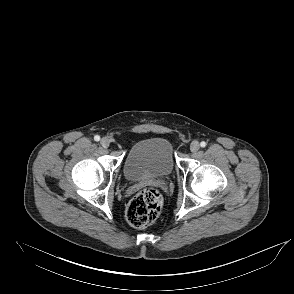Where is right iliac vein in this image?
I'll return each instance as SVG.
<instances>
[{"label":"right iliac vein","instance_id":"1","mask_svg":"<svg viewBox=\"0 0 294 294\" xmlns=\"http://www.w3.org/2000/svg\"><path fill=\"white\" fill-rule=\"evenodd\" d=\"M100 144L102 147L108 148L110 145V140L108 138L104 137L101 139Z\"/></svg>","mask_w":294,"mask_h":294}]
</instances>
